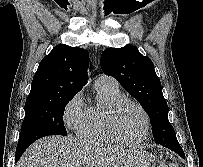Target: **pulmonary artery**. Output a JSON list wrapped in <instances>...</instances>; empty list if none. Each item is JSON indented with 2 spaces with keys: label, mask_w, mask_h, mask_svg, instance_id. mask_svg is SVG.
Listing matches in <instances>:
<instances>
[{
  "label": "pulmonary artery",
  "mask_w": 203,
  "mask_h": 167,
  "mask_svg": "<svg viewBox=\"0 0 203 167\" xmlns=\"http://www.w3.org/2000/svg\"><path fill=\"white\" fill-rule=\"evenodd\" d=\"M116 81L113 77L105 75V74H101L97 77L96 79V87L97 86H102V85H107V84H115Z\"/></svg>",
  "instance_id": "pulmonary-artery-1"
}]
</instances>
